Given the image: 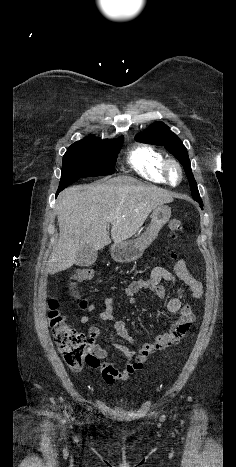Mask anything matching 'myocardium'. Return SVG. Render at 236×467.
Listing matches in <instances>:
<instances>
[{
	"mask_svg": "<svg viewBox=\"0 0 236 467\" xmlns=\"http://www.w3.org/2000/svg\"><path fill=\"white\" fill-rule=\"evenodd\" d=\"M172 168H175V170L178 173V180L177 181H173V179L171 177ZM162 170H163V175H164L167 183H169L172 186L178 185L183 179L182 166L177 160H175L173 158H169V159H166L164 161Z\"/></svg>",
	"mask_w": 236,
	"mask_h": 467,
	"instance_id": "1",
	"label": "myocardium"
}]
</instances>
